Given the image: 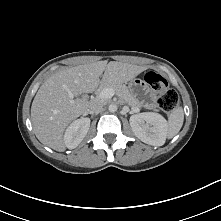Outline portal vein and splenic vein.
<instances>
[{"instance_id":"1","label":"portal vein and splenic vein","mask_w":221,"mask_h":221,"mask_svg":"<svg viewBox=\"0 0 221 221\" xmlns=\"http://www.w3.org/2000/svg\"><path fill=\"white\" fill-rule=\"evenodd\" d=\"M113 95H114V90L112 88H106L101 93V97L105 99L111 98Z\"/></svg>"}]
</instances>
